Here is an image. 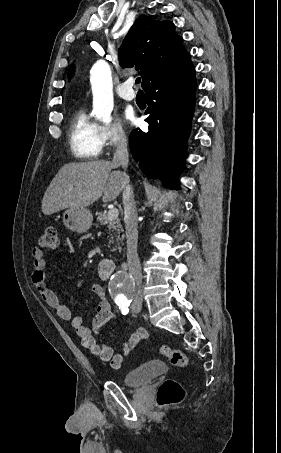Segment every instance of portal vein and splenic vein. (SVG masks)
<instances>
[{
    "label": "portal vein and splenic vein",
    "instance_id": "18ae733b",
    "mask_svg": "<svg viewBox=\"0 0 281 453\" xmlns=\"http://www.w3.org/2000/svg\"><path fill=\"white\" fill-rule=\"evenodd\" d=\"M118 214V208H109L106 218H108V220H115V218H118Z\"/></svg>",
    "mask_w": 281,
    "mask_h": 453
}]
</instances>
